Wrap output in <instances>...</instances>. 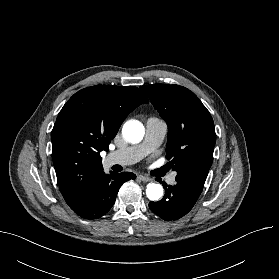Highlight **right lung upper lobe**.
Instances as JSON below:
<instances>
[{
  "mask_svg": "<svg viewBox=\"0 0 279 279\" xmlns=\"http://www.w3.org/2000/svg\"><path fill=\"white\" fill-rule=\"evenodd\" d=\"M145 103L149 101L137 87L97 85L78 91L63 106L51 132L52 159L70 208L103 172L100 152L108 150L127 115Z\"/></svg>",
  "mask_w": 279,
  "mask_h": 279,
  "instance_id": "1",
  "label": "right lung upper lobe"
}]
</instances>
